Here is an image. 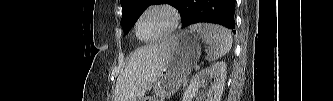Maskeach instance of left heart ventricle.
Listing matches in <instances>:
<instances>
[{"instance_id":"left-heart-ventricle-1","label":"left heart ventricle","mask_w":333,"mask_h":101,"mask_svg":"<svg viewBox=\"0 0 333 101\" xmlns=\"http://www.w3.org/2000/svg\"><path fill=\"white\" fill-rule=\"evenodd\" d=\"M171 16L164 11H153L143 17L139 32L143 38L149 39L164 33L171 25Z\"/></svg>"}]
</instances>
